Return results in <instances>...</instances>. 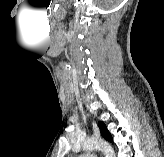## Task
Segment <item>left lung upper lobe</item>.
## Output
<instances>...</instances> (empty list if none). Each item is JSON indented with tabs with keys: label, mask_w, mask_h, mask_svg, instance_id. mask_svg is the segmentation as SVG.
<instances>
[{
	"label": "left lung upper lobe",
	"mask_w": 164,
	"mask_h": 157,
	"mask_svg": "<svg viewBox=\"0 0 164 157\" xmlns=\"http://www.w3.org/2000/svg\"><path fill=\"white\" fill-rule=\"evenodd\" d=\"M99 127H100V130H101L103 137L109 141H112L113 140L112 135L107 130L106 125L103 122H99Z\"/></svg>",
	"instance_id": "1"
}]
</instances>
